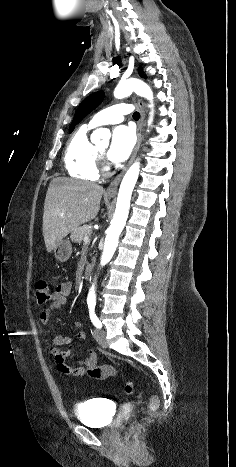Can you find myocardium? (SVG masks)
<instances>
[{
    "mask_svg": "<svg viewBox=\"0 0 236 467\" xmlns=\"http://www.w3.org/2000/svg\"><path fill=\"white\" fill-rule=\"evenodd\" d=\"M97 153H98V157H99L100 164L102 165L101 167H99V169H100L103 173L107 174V173H108V170H109V167H108L104 162H102L103 159H104V153L101 152L100 150H97Z\"/></svg>",
    "mask_w": 236,
    "mask_h": 467,
    "instance_id": "obj_1",
    "label": "myocardium"
}]
</instances>
